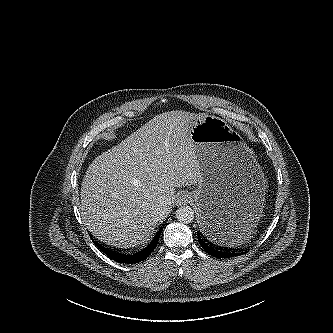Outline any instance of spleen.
I'll return each mask as SVG.
<instances>
[{"label":"spleen","instance_id":"obj_1","mask_svg":"<svg viewBox=\"0 0 333 333\" xmlns=\"http://www.w3.org/2000/svg\"><path fill=\"white\" fill-rule=\"evenodd\" d=\"M253 228H244V229H234L227 232L225 238L229 245H233L235 243H240L244 240H247L252 234Z\"/></svg>","mask_w":333,"mask_h":333}]
</instances>
